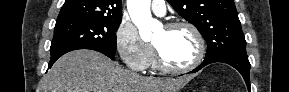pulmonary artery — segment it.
Listing matches in <instances>:
<instances>
[{"instance_id": "e3ab8cb5", "label": "pulmonary artery", "mask_w": 289, "mask_h": 92, "mask_svg": "<svg viewBox=\"0 0 289 92\" xmlns=\"http://www.w3.org/2000/svg\"><path fill=\"white\" fill-rule=\"evenodd\" d=\"M151 9L153 13L158 16H163L166 13V5L163 0H153L151 3Z\"/></svg>"}]
</instances>
